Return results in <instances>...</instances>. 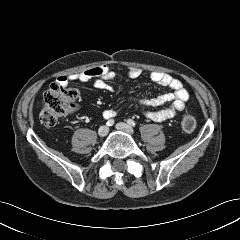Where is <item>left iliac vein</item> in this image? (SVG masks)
<instances>
[{
	"instance_id": "left-iliac-vein-1",
	"label": "left iliac vein",
	"mask_w": 240,
	"mask_h": 240,
	"mask_svg": "<svg viewBox=\"0 0 240 240\" xmlns=\"http://www.w3.org/2000/svg\"><path fill=\"white\" fill-rule=\"evenodd\" d=\"M116 128L120 131H124L128 134H133L134 130L127 124L123 123V122H119L116 124Z\"/></svg>"
}]
</instances>
